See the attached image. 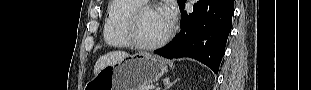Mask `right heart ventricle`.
<instances>
[{"label":"right heart ventricle","instance_id":"1","mask_svg":"<svg viewBox=\"0 0 311 90\" xmlns=\"http://www.w3.org/2000/svg\"><path fill=\"white\" fill-rule=\"evenodd\" d=\"M145 3L140 0H113L107 8L103 37L115 48H128L131 43L126 31V23L132 11Z\"/></svg>","mask_w":311,"mask_h":90}]
</instances>
